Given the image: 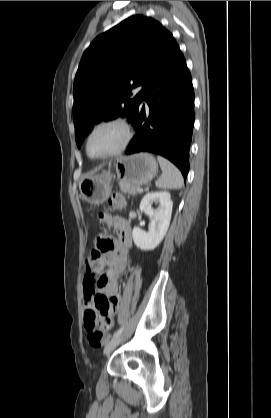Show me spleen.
I'll use <instances>...</instances> for the list:
<instances>
[{"instance_id":"1","label":"spleen","mask_w":271,"mask_h":418,"mask_svg":"<svg viewBox=\"0 0 271 418\" xmlns=\"http://www.w3.org/2000/svg\"><path fill=\"white\" fill-rule=\"evenodd\" d=\"M162 175L156 181V187L160 189H181L183 186V177L179 169L162 156L157 157Z\"/></svg>"}]
</instances>
